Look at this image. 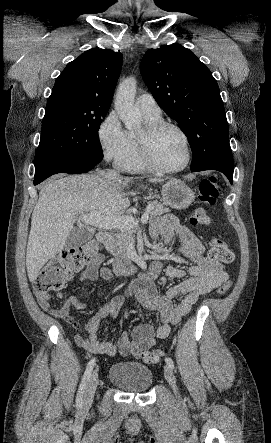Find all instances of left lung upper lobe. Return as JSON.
Segmentation results:
<instances>
[{"label":"left lung upper lobe","instance_id":"5c2ea615","mask_svg":"<svg viewBox=\"0 0 271 443\" xmlns=\"http://www.w3.org/2000/svg\"><path fill=\"white\" fill-rule=\"evenodd\" d=\"M140 72L155 100L187 136L191 169L216 166L232 172L228 123L210 70L192 51L173 44L149 49Z\"/></svg>","mask_w":271,"mask_h":443}]
</instances>
